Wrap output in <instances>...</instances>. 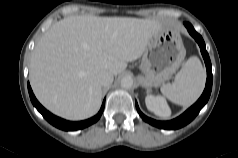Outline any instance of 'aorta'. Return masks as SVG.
Returning a JSON list of instances; mask_svg holds the SVG:
<instances>
[{"mask_svg":"<svg viewBox=\"0 0 238 158\" xmlns=\"http://www.w3.org/2000/svg\"><path fill=\"white\" fill-rule=\"evenodd\" d=\"M121 86L124 89H130L133 86V79L129 76L122 78Z\"/></svg>","mask_w":238,"mask_h":158,"instance_id":"aorta-1","label":"aorta"}]
</instances>
